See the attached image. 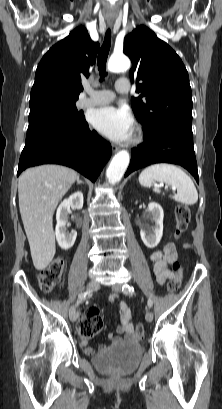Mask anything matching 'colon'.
Masks as SVG:
<instances>
[{"label":"colon","mask_w":222,"mask_h":409,"mask_svg":"<svg viewBox=\"0 0 222 409\" xmlns=\"http://www.w3.org/2000/svg\"><path fill=\"white\" fill-rule=\"evenodd\" d=\"M191 213L189 208L186 205H179L175 210V219H176V229L175 236L179 237L188 227L190 222ZM176 260L171 262L172 268L176 274V279L168 283V291L173 292L179 287L180 279L182 276V268L176 269L173 266V263ZM65 262L62 257L55 258L50 265L41 271L38 283L40 289L44 293H50L58 285L63 270ZM102 328V319L98 314V310L94 307L88 308L84 319L78 326V332L82 339L89 340L94 337ZM136 335L139 340L144 338V328L141 323L136 327Z\"/></svg>","instance_id":"1"}]
</instances>
